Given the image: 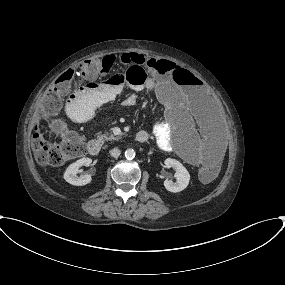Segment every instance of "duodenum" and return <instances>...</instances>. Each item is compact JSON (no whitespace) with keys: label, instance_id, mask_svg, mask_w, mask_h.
Instances as JSON below:
<instances>
[{"label":"duodenum","instance_id":"1","mask_svg":"<svg viewBox=\"0 0 285 285\" xmlns=\"http://www.w3.org/2000/svg\"><path fill=\"white\" fill-rule=\"evenodd\" d=\"M76 107H79V105H76ZM135 139L138 142H145L148 140V134L146 133V131H139L136 134ZM87 150H88V153L92 156L98 155L100 150H101L100 142L98 140H95V139L91 140L88 143Z\"/></svg>","mask_w":285,"mask_h":285}]
</instances>
